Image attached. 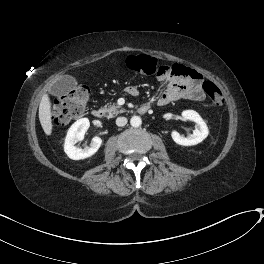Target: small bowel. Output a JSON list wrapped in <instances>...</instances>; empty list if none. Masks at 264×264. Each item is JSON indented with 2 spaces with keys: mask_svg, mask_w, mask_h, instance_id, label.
<instances>
[{
  "mask_svg": "<svg viewBox=\"0 0 264 264\" xmlns=\"http://www.w3.org/2000/svg\"><path fill=\"white\" fill-rule=\"evenodd\" d=\"M160 81L167 83L168 88L157 99L159 106L184 98L194 101H203L205 99V93L202 88L203 79L191 69H184L175 65L171 74L160 78ZM126 92L135 96L134 92H138V90L135 86H129Z\"/></svg>",
  "mask_w": 264,
  "mask_h": 264,
  "instance_id": "c3829d8e",
  "label": "small bowel"
}]
</instances>
